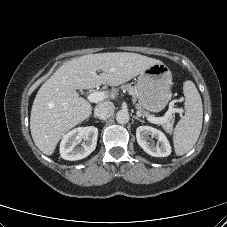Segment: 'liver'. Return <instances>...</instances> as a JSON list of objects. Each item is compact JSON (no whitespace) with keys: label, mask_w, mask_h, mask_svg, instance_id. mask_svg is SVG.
I'll use <instances>...</instances> for the list:
<instances>
[{"label":"liver","mask_w":227,"mask_h":227,"mask_svg":"<svg viewBox=\"0 0 227 227\" xmlns=\"http://www.w3.org/2000/svg\"><path fill=\"white\" fill-rule=\"evenodd\" d=\"M159 63L162 62L129 52L88 54L64 63L34 99L30 130L35 145L42 153L52 155L64 134L91 115V104L76 90L102 84L119 86Z\"/></svg>","instance_id":"1"}]
</instances>
